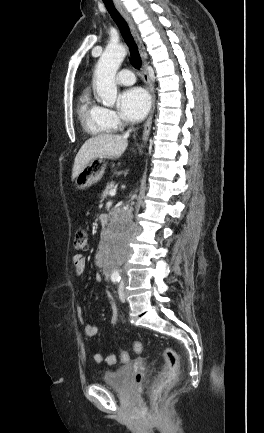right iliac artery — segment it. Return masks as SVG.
Returning <instances> with one entry per match:
<instances>
[{
  "label": "right iliac artery",
  "mask_w": 264,
  "mask_h": 433,
  "mask_svg": "<svg viewBox=\"0 0 264 433\" xmlns=\"http://www.w3.org/2000/svg\"><path fill=\"white\" fill-rule=\"evenodd\" d=\"M112 281H113V282H119V281H120V277H113V278H112Z\"/></svg>",
  "instance_id": "obj_1"
}]
</instances>
